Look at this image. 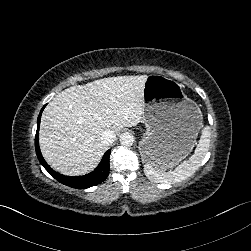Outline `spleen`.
<instances>
[{
	"label": "spleen",
	"instance_id": "1",
	"mask_svg": "<svg viewBox=\"0 0 251 251\" xmlns=\"http://www.w3.org/2000/svg\"><path fill=\"white\" fill-rule=\"evenodd\" d=\"M210 127L205 126L202 129L200 140L197 144L194 154L189 160L182 162L175 168L174 171L164 172L163 170L156 169L151 163L144 166V172L152 182L176 183L187 179L201 165L205 155L207 154L210 146Z\"/></svg>",
	"mask_w": 251,
	"mask_h": 251
}]
</instances>
